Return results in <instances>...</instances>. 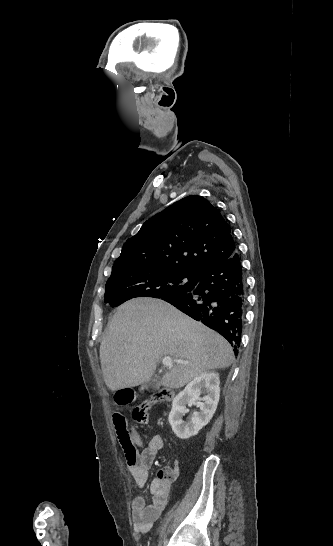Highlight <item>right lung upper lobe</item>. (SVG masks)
Wrapping results in <instances>:
<instances>
[{
    "instance_id": "right-lung-upper-lobe-1",
    "label": "right lung upper lobe",
    "mask_w": 333,
    "mask_h": 546,
    "mask_svg": "<svg viewBox=\"0 0 333 546\" xmlns=\"http://www.w3.org/2000/svg\"><path fill=\"white\" fill-rule=\"evenodd\" d=\"M236 251L219 211L205 198L191 195L148 219L124 243L112 270L133 266L198 276Z\"/></svg>"
}]
</instances>
